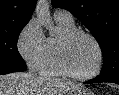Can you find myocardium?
Wrapping results in <instances>:
<instances>
[{"label":"myocardium","instance_id":"obj_1","mask_svg":"<svg viewBox=\"0 0 119 95\" xmlns=\"http://www.w3.org/2000/svg\"><path fill=\"white\" fill-rule=\"evenodd\" d=\"M80 35L88 37L94 43L98 52V60H97L96 67L92 72L88 74H78L74 72L70 68L67 60V49L69 44L71 43L72 40H74L77 36ZM103 62H104L103 48L100 42L98 41V39L90 32L83 29L74 28L68 32L63 33L60 36L57 44V63L64 75L79 80L92 79L101 72L103 67Z\"/></svg>","mask_w":119,"mask_h":95}]
</instances>
